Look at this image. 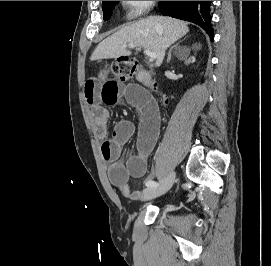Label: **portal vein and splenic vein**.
I'll return each instance as SVG.
<instances>
[{
  "instance_id": "18ae733b",
  "label": "portal vein and splenic vein",
  "mask_w": 271,
  "mask_h": 266,
  "mask_svg": "<svg viewBox=\"0 0 271 266\" xmlns=\"http://www.w3.org/2000/svg\"><path fill=\"white\" fill-rule=\"evenodd\" d=\"M126 48H135L136 46L134 44H128L125 46ZM144 54L147 55L150 59H156V53L155 52H152L150 50H144Z\"/></svg>"
}]
</instances>
